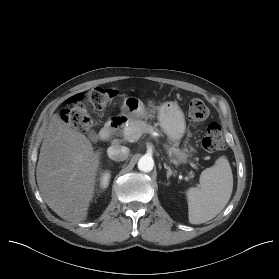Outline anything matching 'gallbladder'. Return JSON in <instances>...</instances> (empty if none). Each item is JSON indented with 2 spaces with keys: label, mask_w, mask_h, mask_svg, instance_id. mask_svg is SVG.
Returning a JSON list of instances; mask_svg holds the SVG:
<instances>
[{
  "label": "gallbladder",
  "mask_w": 279,
  "mask_h": 279,
  "mask_svg": "<svg viewBox=\"0 0 279 279\" xmlns=\"http://www.w3.org/2000/svg\"><path fill=\"white\" fill-rule=\"evenodd\" d=\"M89 137H90L91 139H95V138H96V133L93 132V131H91V132L89 133Z\"/></svg>",
  "instance_id": "gallbladder-1"
}]
</instances>
